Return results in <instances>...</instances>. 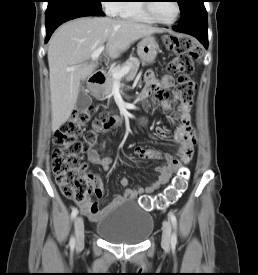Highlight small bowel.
I'll use <instances>...</instances> for the list:
<instances>
[{
  "mask_svg": "<svg viewBox=\"0 0 258 275\" xmlns=\"http://www.w3.org/2000/svg\"><path fill=\"white\" fill-rule=\"evenodd\" d=\"M145 86L143 87L140 97L147 98L153 89H159L162 92L173 86L174 79L170 75L162 77L161 81H158L154 72L149 70L144 76ZM162 106L166 109L170 107V104L163 100ZM191 101L182 103L178 108V119L180 121L176 128L174 139L179 144L176 155L161 154L155 149L145 148L142 146H136L134 153L138 158L141 159H161L163 163L155 168L158 174L157 179L146 187L137 186L134 188L128 187V180L126 178L121 179V185L125 187L122 195H116L110 200L104 208L100 209L98 205L87 199L82 202H77L82 213L91 220H98L102 216L113 209L114 207L121 205L126 202L134 201L138 196L146 193H152L161 186L165 185L171 179L173 173L181 166V164L187 161L193 151L195 145V133L191 123L190 109ZM146 125L145 122H143ZM157 134L160 136H166L167 132L163 127L158 126L156 128ZM87 157L90 163L101 166L105 171H108L111 167V159L109 157H102L98 151L92 146L87 151ZM94 192L97 197H101L104 193V187L102 184L101 177L99 175L94 176Z\"/></svg>",
  "mask_w": 258,
  "mask_h": 275,
  "instance_id": "c3829d8e",
  "label": "small bowel"
}]
</instances>
